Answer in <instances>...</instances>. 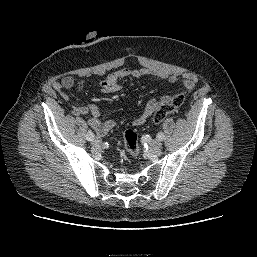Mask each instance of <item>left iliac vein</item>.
Masks as SVG:
<instances>
[{
  "mask_svg": "<svg viewBox=\"0 0 257 257\" xmlns=\"http://www.w3.org/2000/svg\"><path fill=\"white\" fill-rule=\"evenodd\" d=\"M162 147V143L161 141L159 140H153L151 143H150V148L154 151H157L159 150L160 148Z\"/></svg>",
  "mask_w": 257,
  "mask_h": 257,
  "instance_id": "obj_1",
  "label": "left iliac vein"
}]
</instances>
